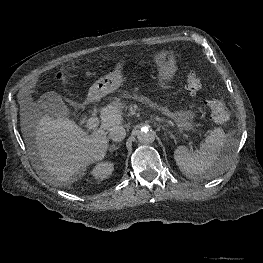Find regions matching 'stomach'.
Wrapping results in <instances>:
<instances>
[{
  "mask_svg": "<svg viewBox=\"0 0 263 263\" xmlns=\"http://www.w3.org/2000/svg\"><path fill=\"white\" fill-rule=\"evenodd\" d=\"M125 61H120L115 66L113 72L101 77L89 89L88 97L90 100H96L102 96L111 93L118 89L123 81L122 70ZM155 63L158 68V77L161 82H167L173 79L176 67V56L171 51H159L155 55ZM163 114L171 117L181 128L192 129L191 119L193 118L190 112H170L167 107L159 108Z\"/></svg>",
  "mask_w": 263,
  "mask_h": 263,
  "instance_id": "1",
  "label": "stomach"
}]
</instances>
